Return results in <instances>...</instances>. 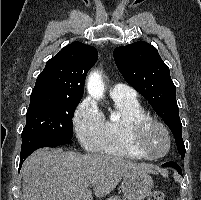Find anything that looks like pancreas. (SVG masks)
I'll use <instances>...</instances> for the list:
<instances>
[{
  "instance_id": "obj_1",
  "label": "pancreas",
  "mask_w": 201,
  "mask_h": 200,
  "mask_svg": "<svg viewBox=\"0 0 201 200\" xmlns=\"http://www.w3.org/2000/svg\"><path fill=\"white\" fill-rule=\"evenodd\" d=\"M107 200H122L117 195L109 197Z\"/></svg>"
}]
</instances>
